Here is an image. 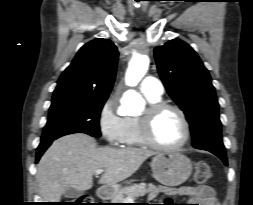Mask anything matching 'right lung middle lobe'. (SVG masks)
I'll return each mask as SVG.
<instances>
[{"label": "right lung middle lobe", "instance_id": "1", "mask_svg": "<svg viewBox=\"0 0 253 205\" xmlns=\"http://www.w3.org/2000/svg\"><path fill=\"white\" fill-rule=\"evenodd\" d=\"M107 98H64L52 100L41 141L72 133L100 137L99 117Z\"/></svg>", "mask_w": 253, "mask_h": 205}]
</instances>
